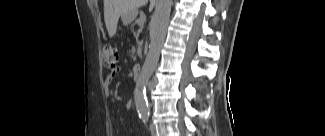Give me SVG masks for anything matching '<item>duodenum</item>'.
Returning a JSON list of instances; mask_svg holds the SVG:
<instances>
[{
    "instance_id": "410a0bca",
    "label": "duodenum",
    "mask_w": 325,
    "mask_h": 136,
    "mask_svg": "<svg viewBox=\"0 0 325 136\" xmlns=\"http://www.w3.org/2000/svg\"><path fill=\"white\" fill-rule=\"evenodd\" d=\"M141 64L140 63H137V64H135L134 65V67H133V76H138L139 74H140V72H141Z\"/></svg>"
}]
</instances>
